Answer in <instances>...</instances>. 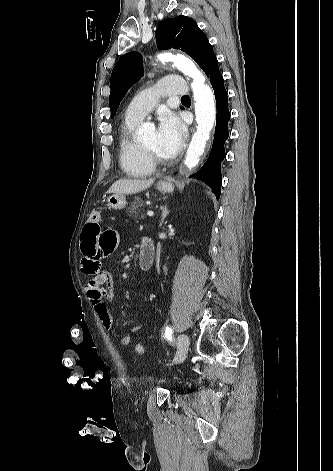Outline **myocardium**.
Segmentation results:
<instances>
[{"mask_svg": "<svg viewBox=\"0 0 333 471\" xmlns=\"http://www.w3.org/2000/svg\"><path fill=\"white\" fill-rule=\"evenodd\" d=\"M142 149L144 150L145 154L148 156L150 161L156 165V164H166L168 163V160L165 158H161L158 156L154 151L151 149L147 148L143 143H141Z\"/></svg>", "mask_w": 333, "mask_h": 471, "instance_id": "1", "label": "myocardium"}]
</instances>
